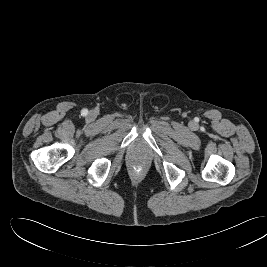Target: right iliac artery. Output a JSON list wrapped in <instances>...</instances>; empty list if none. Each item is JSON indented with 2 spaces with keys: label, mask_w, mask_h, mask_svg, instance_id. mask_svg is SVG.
Wrapping results in <instances>:
<instances>
[{
  "label": "right iliac artery",
  "mask_w": 267,
  "mask_h": 267,
  "mask_svg": "<svg viewBox=\"0 0 267 267\" xmlns=\"http://www.w3.org/2000/svg\"><path fill=\"white\" fill-rule=\"evenodd\" d=\"M87 113H88L87 109L84 108V109L81 110V115L86 116Z\"/></svg>",
  "instance_id": "1"
}]
</instances>
